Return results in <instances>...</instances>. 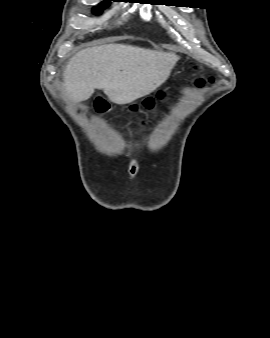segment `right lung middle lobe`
Wrapping results in <instances>:
<instances>
[{"mask_svg": "<svg viewBox=\"0 0 270 338\" xmlns=\"http://www.w3.org/2000/svg\"><path fill=\"white\" fill-rule=\"evenodd\" d=\"M111 0H104V2H103V4L100 6V7H94L93 8V12L94 13H100L101 11H102V9H103V7H105V5H108V3L110 2ZM117 1H119V0H117ZM114 2H116V1H114Z\"/></svg>", "mask_w": 270, "mask_h": 338, "instance_id": "1", "label": "right lung middle lobe"}]
</instances>
